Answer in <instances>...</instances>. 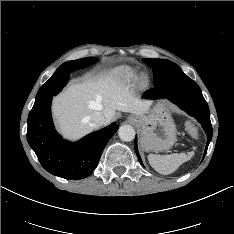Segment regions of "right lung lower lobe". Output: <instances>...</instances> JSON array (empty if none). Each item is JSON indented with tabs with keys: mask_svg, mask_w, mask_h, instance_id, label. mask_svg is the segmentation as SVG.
<instances>
[{
	"mask_svg": "<svg viewBox=\"0 0 234 234\" xmlns=\"http://www.w3.org/2000/svg\"><path fill=\"white\" fill-rule=\"evenodd\" d=\"M70 71L56 70L39 89L28 116L27 140L43 168L65 179H82L97 167L102 151L118 129L112 123L76 143L63 140L54 129L51 117L52 97L69 80Z\"/></svg>",
	"mask_w": 234,
	"mask_h": 234,
	"instance_id": "98d812e1",
	"label": "right lung lower lobe"
}]
</instances>
